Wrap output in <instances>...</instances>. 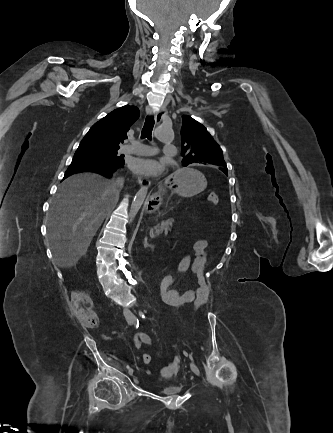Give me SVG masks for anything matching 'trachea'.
Segmentation results:
<instances>
[{"label": "trachea", "mask_w": 333, "mask_h": 433, "mask_svg": "<svg viewBox=\"0 0 333 433\" xmlns=\"http://www.w3.org/2000/svg\"><path fill=\"white\" fill-rule=\"evenodd\" d=\"M153 127H154V117L147 116L141 132V138L151 139Z\"/></svg>", "instance_id": "obj_1"}]
</instances>
